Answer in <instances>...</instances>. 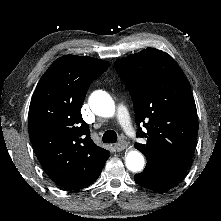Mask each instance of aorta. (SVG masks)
Segmentation results:
<instances>
[{
    "instance_id": "aorta-1",
    "label": "aorta",
    "mask_w": 221,
    "mask_h": 221,
    "mask_svg": "<svg viewBox=\"0 0 221 221\" xmlns=\"http://www.w3.org/2000/svg\"><path fill=\"white\" fill-rule=\"evenodd\" d=\"M89 105L93 113L101 117H112L115 113L113 99L102 90H97L90 95ZM125 164L130 171L140 172L145 165L144 157L137 150L129 151L125 157Z\"/></svg>"
}]
</instances>
